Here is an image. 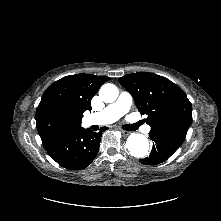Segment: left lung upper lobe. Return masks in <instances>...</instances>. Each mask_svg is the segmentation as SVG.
I'll return each instance as SVG.
<instances>
[{
	"label": "left lung upper lobe",
	"mask_w": 221,
	"mask_h": 221,
	"mask_svg": "<svg viewBox=\"0 0 221 221\" xmlns=\"http://www.w3.org/2000/svg\"><path fill=\"white\" fill-rule=\"evenodd\" d=\"M119 82L132 95L141 115L148 116L151 131L185 140L192 122V105L179 86L149 72L128 74Z\"/></svg>",
	"instance_id": "5c2ea615"
}]
</instances>
